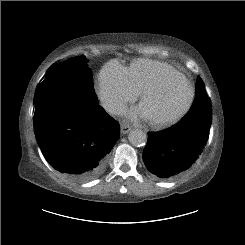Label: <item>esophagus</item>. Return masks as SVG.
<instances>
[{"instance_id":"esophagus-1","label":"esophagus","mask_w":245,"mask_h":245,"mask_svg":"<svg viewBox=\"0 0 245 245\" xmlns=\"http://www.w3.org/2000/svg\"><path fill=\"white\" fill-rule=\"evenodd\" d=\"M132 127H130L127 124H121V134H127L129 131H131Z\"/></svg>"}]
</instances>
